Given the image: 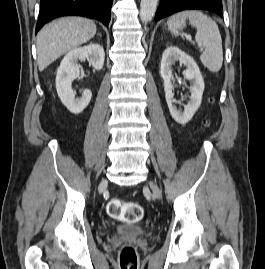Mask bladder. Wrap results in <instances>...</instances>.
Listing matches in <instances>:
<instances>
[{"label": "bladder", "instance_id": "bladder-1", "mask_svg": "<svg viewBox=\"0 0 265 269\" xmlns=\"http://www.w3.org/2000/svg\"><path fill=\"white\" fill-rule=\"evenodd\" d=\"M119 233L130 237H139L147 235L149 230L145 225L126 224L118 229Z\"/></svg>", "mask_w": 265, "mask_h": 269}]
</instances>
